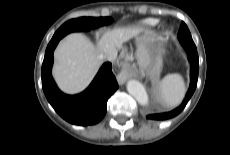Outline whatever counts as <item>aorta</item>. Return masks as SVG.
<instances>
[{
    "mask_svg": "<svg viewBox=\"0 0 230 155\" xmlns=\"http://www.w3.org/2000/svg\"><path fill=\"white\" fill-rule=\"evenodd\" d=\"M127 91L140 105L146 106L148 104V94L139 81L129 80L127 82Z\"/></svg>",
    "mask_w": 230,
    "mask_h": 155,
    "instance_id": "obj_1",
    "label": "aorta"
}]
</instances>
